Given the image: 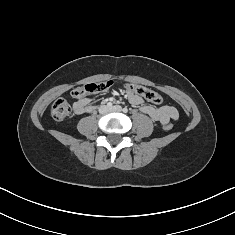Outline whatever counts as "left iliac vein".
<instances>
[{
  "mask_svg": "<svg viewBox=\"0 0 235 235\" xmlns=\"http://www.w3.org/2000/svg\"><path fill=\"white\" fill-rule=\"evenodd\" d=\"M111 112H121L122 111V107L119 105L113 106L110 108Z\"/></svg>",
  "mask_w": 235,
  "mask_h": 235,
  "instance_id": "obj_1",
  "label": "left iliac vein"
}]
</instances>
